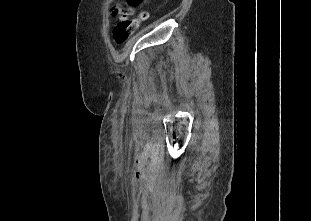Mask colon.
I'll return each mask as SVG.
<instances>
[{
  "label": "colon",
  "mask_w": 311,
  "mask_h": 221,
  "mask_svg": "<svg viewBox=\"0 0 311 221\" xmlns=\"http://www.w3.org/2000/svg\"><path fill=\"white\" fill-rule=\"evenodd\" d=\"M142 2V0H128V4L130 7H135L139 5ZM109 8L112 12V17H120L123 18L124 16L132 15V13H121L118 7L117 2H110ZM126 14V15H125ZM150 14L146 11H141L136 17V20L128 21L127 23H120L116 24L113 28V38L115 43L122 44L125 43L130 35L144 22H146L149 18Z\"/></svg>",
  "instance_id": "5ec220e1"
}]
</instances>
